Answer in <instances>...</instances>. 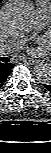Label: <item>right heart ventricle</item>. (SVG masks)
<instances>
[{
    "label": "right heart ventricle",
    "instance_id": "e07e8e85",
    "mask_svg": "<svg viewBox=\"0 0 51 153\" xmlns=\"http://www.w3.org/2000/svg\"><path fill=\"white\" fill-rule=\"evenodd\" d=\"M45 3H48V2L45 1V0H39V1H38V6H41V5L45 4ZM48 4H49V3H48Z\"/></svg>",
    "mask_w": 51,
    "mask_h": 153
}]
</instances>
